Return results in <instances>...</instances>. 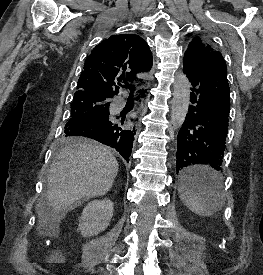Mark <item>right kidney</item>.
I'll return each mask as SVG.
<instances>
[{"instance_id": "ca27d5eb", "label": "right kidney", "mask_w": 263, "mask_h": 275, "mask_svg": "<svg viewBox=\"0 0 263 275\" xmlns=\"http://www.w3.org/2000/svg\"><path fill=\"white\" fill-rule=\"evenodd\" d=\"M113 211L109 199L91 201L82 212L78 230L84 237L97 235L109 226Z\"/></svg>"}]
</instances>
